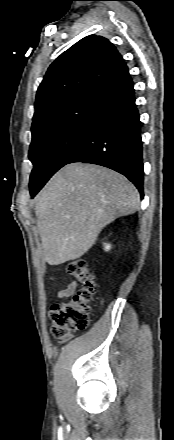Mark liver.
Listing matches in <instances>:
<instances>
[{
    "label": "liver",
    "instance_id": "obj_1",
    "mask_svg": "<svg viewBox=\"0 0 174 440\" xmlns=\"http://www.w3.org/2000/svg\"><path fill=\"white\" fill-rule=\"evenodd\" d=\"M139 203L137 189L120 173L92 164L66 165L35 199L45 261L59 265L80 258L106 225L134 213Z\"/></svg>",
    "mask_w": 174,
    "mask_h": 440
}]
</instances>
